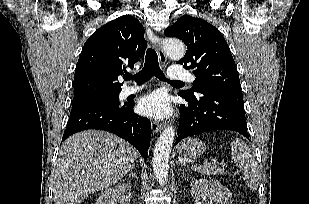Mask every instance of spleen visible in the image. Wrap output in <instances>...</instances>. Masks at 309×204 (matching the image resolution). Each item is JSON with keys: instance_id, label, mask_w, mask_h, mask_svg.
I'll use <instances>...</instances> for the list:
<instances>
[{"instance_id": "obj_1", "label": "spleen", "mask_w": 309, "mask_h": 204, "mask_svg": "<svg viewBox=\"0 0 309 204\" xmlns=\"http://www.w3.org/2000/svg\"><path fill=\"white\" fill-rule=\"evenodd\" d=\"M231 157L236 166L243 171V180L251 190H257L260 169L255 155L241 139H234L231 143Z\"/></svg>"}]
</instances>
